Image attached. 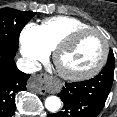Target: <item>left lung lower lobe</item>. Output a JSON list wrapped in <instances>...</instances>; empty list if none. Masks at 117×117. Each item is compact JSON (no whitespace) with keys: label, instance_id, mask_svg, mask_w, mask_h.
I'll list each match as a JSON object with an SVG mask.
<instances>
[{"label":"left lung lower lobe","instance_id":"left-lung-lower-lobe-1","mask_svg":"<svg viewBox=\"0 0 117 117\" xmlns=\"http://www.w3.org/2000/svg\"><path fill=\"white\" fill-rule=\"evenodd\" d=\"M113 81L108 68L93 79L65 83L58 95L64 103L62 111L48 114V117H97L104 107Z\"/></svg>","mask_w":117,"mask_h":117}]
</instances>
